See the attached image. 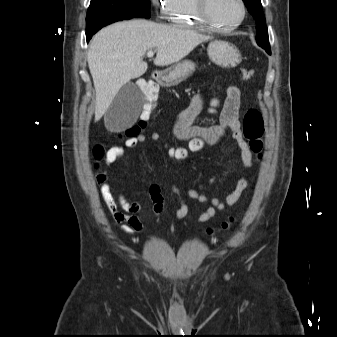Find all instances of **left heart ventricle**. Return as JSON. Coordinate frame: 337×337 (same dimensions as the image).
Here are the masks:
<instances>
[{
	"mask_svg": "<svg viewBox=\"0 0 337 337\" xmlns=\"http://www.w3.org/2000/svg\"><path fill=\"white\" fill-rule=\"evenodd\" d=\"M209 8L214 20L222 25L237 22L242 14L238 0H210Z\"/></svg>",
	"mask_w": 337,
	"mask_h": 337,
	"instance_id": "b2bd125f",
	"label": "left heart ventricle"
}]
</instances>
